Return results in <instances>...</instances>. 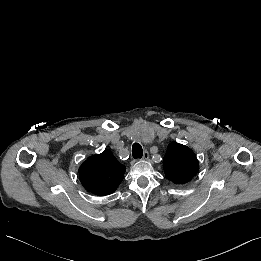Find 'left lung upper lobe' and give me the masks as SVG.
<instances>
[{
    "mask_svg": "<svg viewBox=\"0 0 261 261\" xmlns=\"http://www.w3.org/2000/svg\"><path fill=\"white\" fill-rule=\"evenodd\" d=\"M163 168L169 180L185 184L197 174L199 163L189 147L172 142L164 156Z\"/></svg>",
    "mask_w": 261,
    "mask_h": 261,
    "instance_id": "obj_1",
    "label": "left lung upper lobe"
}]
</instances>
